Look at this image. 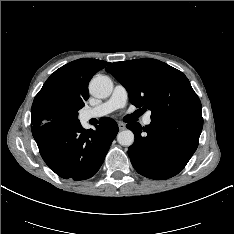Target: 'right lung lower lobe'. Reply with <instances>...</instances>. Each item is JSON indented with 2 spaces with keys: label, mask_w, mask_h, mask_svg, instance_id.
I'll return each instance as SVG.
<instances>
[{
  "label": "right lung lower lobe",
  "mask_w": 234,
  "mask_h": 234,
  "mask_svg": "<svg viewBox=\"0 0 234 234\" xmlns=\"http://www.w3.org/2000/svg\"><path fill=\"white\" fill-rule=\"evenodd\" d=\"M117 133V123L108 117L100 119L96 130L84 129L80 121H53L32 128L48 167L75 181L88 179L99 170Z\"/></svg>",
  "instance_id": "98d812e1"
}]
</instances>
